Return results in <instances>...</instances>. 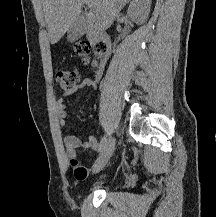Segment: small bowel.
Here are the masks:
<instances>
[{"instance_id": "c3829d8e", "label": "small bowel", "mask_w": 216, "mask_h": 217, "mask_svg": "<svg viewBox=\"0 0 216 217\" xmlns=\"http://www.w3.org/2000/svg\"><path fill=\"white\" fill-rule=\"evenodd\" d=\"M102 71L95 73L94 77H86L81 83L72 90L65 91L63 96L56 101V110L59 116V123L61 126H65L68 123V114L67 106L65 104V98L72 96L79 89H95L97 87V81L101 76ZM64 147L66 154L71 161L77 162V152L79 149H92L94 151H99L100 144L94 136H88L84 139L79 134H69L64 137ZM78 168L81 170L79 176H75L77 180H85L88 176V170L78 165Z\"/></svg>"}]
</instances>
